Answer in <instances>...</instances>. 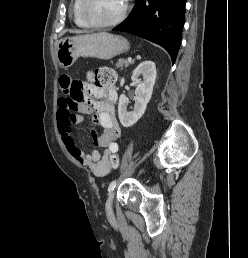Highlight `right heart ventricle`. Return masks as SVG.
I'll return each mask as SVG.
<instances>
[{"label": "right heart ventricle", "instance_id": "1", "mask_svg": "<svg viewBox=\"0 0 248 258\" xmlns=\"http://www.w3.org/2000/svg\"><path fill=\"white\" fill-rule=\"evenodd\" d=\"M79 5H80V0H74L73 5H72L73 20L76 25H78L80 27H87L88 25L85 23V21L81 17Z\"/></svg>", "mask_w": 248, "mask_h": 258}]
</instances>
